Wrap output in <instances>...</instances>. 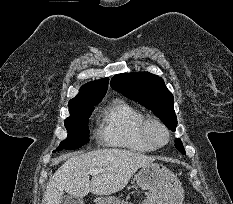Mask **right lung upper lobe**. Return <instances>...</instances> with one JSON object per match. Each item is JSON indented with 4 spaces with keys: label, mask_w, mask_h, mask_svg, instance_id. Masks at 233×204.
Segmentation results:
<instances>
[{
    "label": "right lung upper lobe",
    "mask_w": 233,
    "mask_h": 204,
    "mask_svg": "<svg viewBox=\"0 0 233 204\" xmlns=\"http://www.w3.org/2000/svg\"><path fill=\"white\" fill-rule=\"evenodd\" d=\"M109 78L91 81L81 87L79 94L69 101V109L99 103L107 92Z\"/></svg>",
    "instance_id": "right-lung-upper-lobe-1"
}]
</instances>
